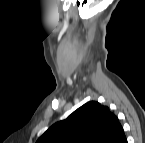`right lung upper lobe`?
Segmentation results:
<instances>
[{
  "label": "right lung upper lobe",
  "instance_id": "obj_1",
  "mask_svg": "<svg viewBox=\"0 0 145 143\" xmlns=\"http://www.w3.org/2000/svg\"><path fill=\"white\" fill-rule=\"evenodd\" d=\"M36 143H127L118 118L91 101L52 125Z\"/></svg>",
  "mask_w": 145,
  "mask_h": 143
}]
</instances>
